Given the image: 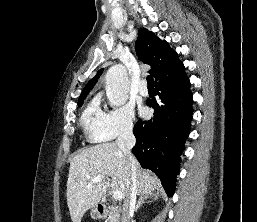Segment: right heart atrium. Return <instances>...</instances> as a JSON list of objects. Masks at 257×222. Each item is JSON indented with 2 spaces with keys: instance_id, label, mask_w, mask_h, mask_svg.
<instances>
[{
  "instance_id": "1",
  "label": "right heart atrium",
  "mask_w": 257,
  "mask_h": 222,
  "mask_svg": "<svg viewBox=\"0 0 257 222\" xmlns=\"http://www.w3.org/2000/svg\"><path fill=\"white\" fill-rule=\"evenodd\" d=\"M113 114L122 116L124 119L123 124L120 128L115 129L107 123L109 115L103 114L100 122L98 140H112L132 133L135 124L133 108L129 105H123L115 108Z\"/></svg>"
}]
</instances>
